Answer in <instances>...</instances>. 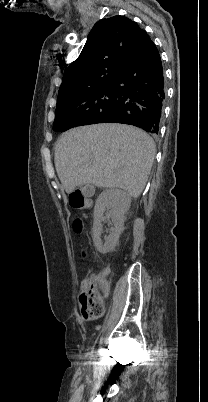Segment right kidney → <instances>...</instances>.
<instances>
[{"label":"right kidney","instance_id":"1","mask_svg":"<svg viewBox=\"0 0 208 402\" xmlns=\"http://www.w3.org/2000/svg\"><path fill=\"white\" fill-rule=\"evenodd\" d=\"M131 200L127 192L111 188V190H104L96 200L93 212V242L98 252L107 254L110 248L117 244L119 236L124 228L125 214L130 208ZM104 212L106 216L104 218ZM104 220H112L110 236L105 238L106 244H102L100 238L102 234V224Z\"/></svg>","mask_w":208,"mask_h":402}]
</instances>
